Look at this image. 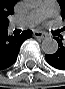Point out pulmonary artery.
<instances>
[{
	"label": "pulmonary artery",
	"mask_w": 65,
	"mask_h": 89,
	"mask_svg": "<svg viewBox=\"0 0 65 89\" xmlns=\"http://www.w3.org/2000/svg\"><path fill=\"white\" fill-rule=\"evenodd\" d=\"M56 12V4L52 0H45L41 6L29 14L19 17L11 22L13 27L30 28L40 23L43 19L51 17Z\"/></svg>",
	"instance_id": "obj_1"
}]
</instances>
